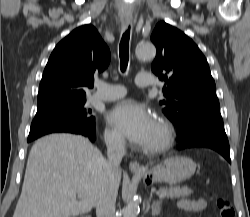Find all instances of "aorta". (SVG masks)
Instances as JSON below:
<instances>
[{
	"label": "aorta",
	"mask_w": 250,
	"mask_h": 217,
	"mask_svg": "<svg viewBox=\"0 0 250 217\" xmlns=\"http://www.w3.org/2000/svg\"><path fill=\"white\" fill-rule=\"evenodd\" d=\"M156 54V49L151 43H142L136 49V55L139 59H150ZM139 214V203L135 199H130L125 211L124 217H137Z\"/></svg>",
	"instance_id": "aorta-1"
}]
</instances>
